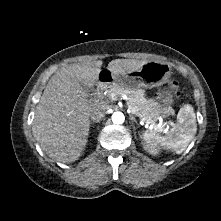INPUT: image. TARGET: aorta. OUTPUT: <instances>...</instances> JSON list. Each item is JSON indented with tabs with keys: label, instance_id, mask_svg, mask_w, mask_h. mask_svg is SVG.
Returning <instances> with one entry per match:
<instances>
[{
	"label": "aorta",
	"instance_id": "762f6f07",
	"mask_svg": "<svg viewBox=\"0 0 221 221\" xmlns=\"http://www.w3.org/2000/svg\"><path fill=\"white\" fill-rule=\"evenodd\" d=\"M125 120V116L122 112H114L112 114V121L114 124H122Z\"/></svg>",
	"mask_w": 221,
	"mask_h": 221
}]
</instances>
